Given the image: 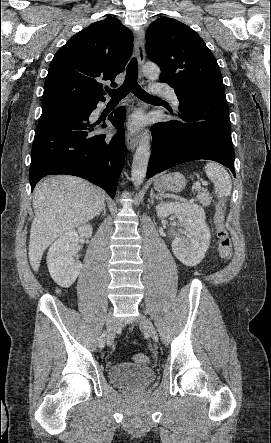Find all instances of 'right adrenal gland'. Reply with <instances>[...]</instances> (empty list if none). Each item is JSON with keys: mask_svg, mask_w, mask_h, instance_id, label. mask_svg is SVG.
<instances>
[{"mask_svg": "<svg viewBox=\"0 0 271 443\" xmlns=\"http://www.w3.org/2000/svg\"><path fill=\"white\" fill-rule=\"evenodd\" d=\"M100 214H102V216H106V206H103L101 212H99V214H97V216H100Z\"/></svg>", "mask_w": 271, "mask_h": 443, "instance_id": "1", "label": "right adrenal gland"}]
</instances>
